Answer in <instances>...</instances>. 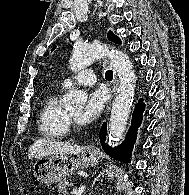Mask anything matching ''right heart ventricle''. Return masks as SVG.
Segmentation results:
<instances>
[{"mask_svg": "<svg viewBox=\"0 0 189 195\" xmlns=\"http://www.w3.org/2000/svg\"><path fill=\"white\" fill-rule=\"evenodd\" d=\"M69 128L67 111L59 104V91L49 93L38 114V132L45 138L61 139Z\"/></svg>", "mask_w": 189, "mask_h": 195, "instance_id": "e07e8e85", "label": "right heart ventricle"}]
</instances>
